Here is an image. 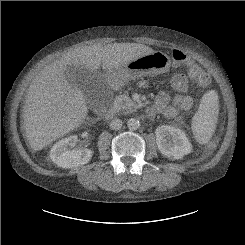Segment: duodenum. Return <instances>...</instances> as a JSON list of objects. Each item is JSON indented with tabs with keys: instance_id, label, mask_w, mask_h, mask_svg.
Wrapping results in <instances>:
<instances>
[{
	"instance_id": "obj_1",
	"label": "duodenum",
	"mask_w": 245,
	"mask_h": 245,
	"mask_svg": "<svg viewBox=\"0 0 245 245\" xmlns=\"http://www.w3.org/2000/svg\"><path fill=\"white\" fill-rule=\"evenodd\" d=\"M120 84H119V81L118 79L116 78H112L110 80V90L113 91V92H116L119 88ZM115 115V110L113 108H109L108 110H106L104 112V117L106 119H112Z\"/></svg>"
}]
</instances>
